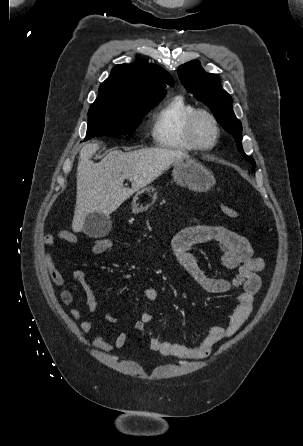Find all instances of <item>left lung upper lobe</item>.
<instances>
[{"instance_id": "obj_1", "label": "left lung upper lobe", "mask_w": 303, "mask_h": 446, "mask_svg": "<svg viewBox=\"0 0 303 446\" xmlns=\"http://www.w3.org/2000/svg\"><path fill=\"white\" fill-rule=\"evenodd\" d=\"M178 74L186 90L191 92L195 98L202 101L211 109L218 123L227 132L237 135L235 136V140L239 152L247 160L251 161L254 167V159L247 156L242 148L239 135L242 132V125L233 112L232 99L222 89L219 78L214 74L206 73L197 60L180 65Z\"/></svg>"}]
</instances>
